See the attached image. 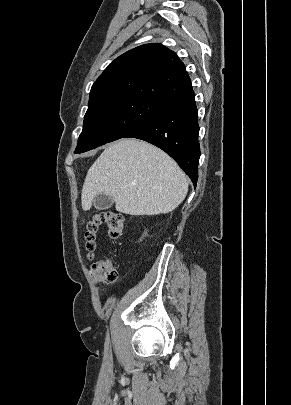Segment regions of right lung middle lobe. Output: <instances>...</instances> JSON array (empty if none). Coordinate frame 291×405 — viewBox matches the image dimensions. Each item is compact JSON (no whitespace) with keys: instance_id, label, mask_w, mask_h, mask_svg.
Here are the masks:
<instances>
[{"instance_id":"dd1d6c3e","label":"right lung middle lobe","mask_w":291,"mask_h":405,"mask_svg":"<svg viewBox=\"0 0 291 405\" xmlns=\"http://www.w3.org/2000/svg\"><path fill=\"white\" fill-rule=\"evenodd\" d=\"M165 103L145 98H127L89 107L75 154L123 138L147 123Z\"/></svg>"}]
</instances>
